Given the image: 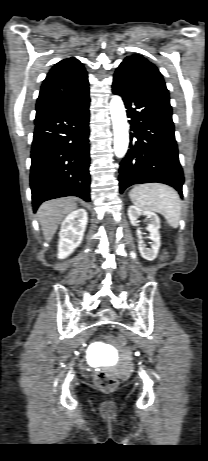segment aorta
<instances>
[{
    "mask_svg": "<svg viewBox=\"0 0 208 461\" xmlns=\"http://www.w3.org/2000/svg\"><path fill=\"white\" fill-rule=\"evenodd\" d=\"M110 114L114 130V152L118 158H122L126 154L129 145V126L125 107L119 96L112 97Z\"/></svg>",
    "mask_w": 208,
    "mask_h": 461,
    "instance_id": "aorta-1",
    "label": "aorta"
}]
</instances>
